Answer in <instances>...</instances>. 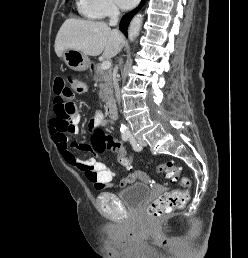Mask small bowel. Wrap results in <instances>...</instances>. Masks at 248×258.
I'll list each match as a JSON object with an SVG mask.
<instances>
[{"label": "small bowel", "mask_w": 248, "mask_h": 258, "mask_svg": "<svg viewBox=\"0 0 248 258\" xmlns=\"http://www.w3.org/2000/svg\"><path fill=\"white\" fill-rule=\"evenodd\" d=\"M53 89L55 93L54 112L56 116L57 110L61 106V102L70 103L69 101L71 99V96L69 90L65 87L63 78L54 79ZM53 118L51 119L50 123V134L52 140L57 146L59 153L62 155L66 163L75 166L79 170H81L86 175V177L95 184L96 188H124L137 179L138 174L131 173L128 176L123 177L117 184H113L112 180L115 177V173L104 162L97 161L94 157L79 159L76 156L74 152L75 148H78L80 150H88L87 145L78 144L77 142L72 141L69 137V132L76 133L78 131V126L80 123V115L78 113H74L71 116L72 128L69 131L58 129L52 123ZM100 125H104V117L101 112H98L89 121L88 129L90 131H93L96 127ZM89 171L93 173V176L91 178L87 176V172Z\"/></svg>", "instance_id": "obj_1"}]
</instances>
